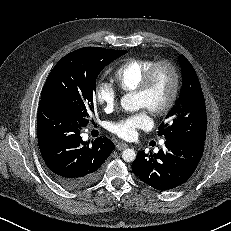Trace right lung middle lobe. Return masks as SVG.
I'll return each mask as SVG.
<instances>
[{
  "label": "right lung middle lobe",
  "mask_w": 231,
  "mask_h": 231,
  "mask_svg": "<svg viewBox=\"0 0 231 231\" xmlns=\"http://www.w3.org/2000/svg\"><path fill=\"white\" fill-rule=\"evenodd\" d=\"M126 53V50L84 47L67 54L47 77L40 101H52L63 106L82 127L87 126L94 112L99 73Z\"/></svg>",
  "instance_id": "1"
}]
</instances>
